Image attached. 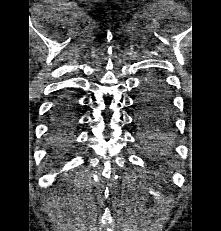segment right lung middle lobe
Segmentation results:
<instances>
[{
  "label": "right lung middle lobe",
  "instance_id": "dd1d6c3e",
  "mask_svg": "<svg viewBox=\"0 0 221 231\" xmlns=\"http://www.w3.org/2000/svg\"><path fill=\"white\" fill-rule=\"evenodd\" d=\"M73 104L59 102L52 114L51 132L54 143L58 146L67 142L75 123Z\"/></svg>",
  "mask_w": 221,
  "mask_h": 231
}]
</instances>
